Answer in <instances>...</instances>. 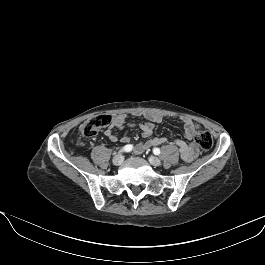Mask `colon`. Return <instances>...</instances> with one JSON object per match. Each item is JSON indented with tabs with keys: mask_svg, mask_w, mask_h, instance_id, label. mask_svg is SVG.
<instances>
[{
	"mask_svg": "<svg viewBox=\"0 0 265 265\" xmlns=\"http://www.w3.org/2000/svg\"><path fill=\"white\" fill-rule=\"evenodd\" d=\"M110 122H111V117L109 115H106V114L97 115L83 124L82 134L86 138H91L96 134V132L99 129L107 126L108 124H110ZM194 139L196 143L203 150H208L213 145V139H212L210 132L205 131V130L195 131Z\"/></svg>",
	"mask_w": 265,
	"mask_h": 265,
	"instance_id": "colon-1",
	"label": "colon"
}]
</instances>
